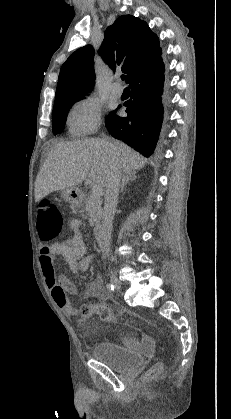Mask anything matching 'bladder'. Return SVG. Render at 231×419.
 Returning <instances> with one entry per match:
<instances>
[{
	"instance_id": "1",
	"label": "bladder",
	"mask_w": 231,
	"mask_h": 419,
	"mask_svg": "<svg viewBox=\"0 0 231 419\" xmlns=\"http://www.w3.org/2000/svg\"><path fill=\"white\" fill-rule=\"evenodd\" d=\"M91 355L94 360L106 364L119 373H126L140 367L144 363L142 354L131 352L111 341L96 343Z\"/></svg>"
}]
</instances>
